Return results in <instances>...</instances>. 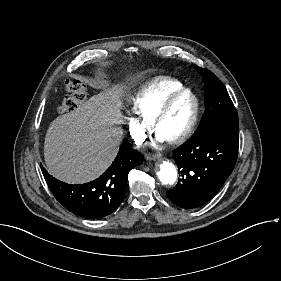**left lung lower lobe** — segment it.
<instances>
[{
    "label": "left lung lower lobe",
    "mask_w": 281,
    "mask_h": 281,
    "mask_svg": "<svg viewBox=\"0 0 281 281\" xmlns=\"http://www.w3.org/2000/svg\"><path fill=\"white\" fill-rule=\"evenodd\" d=\"M238 147V129L199 127L186 144L173 152L182 177L167 191V197L186 209L208 202L233 171Z\"/></svg>",
    "instance_id": "1"
}]
</instances>
